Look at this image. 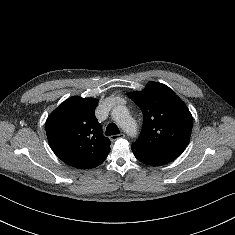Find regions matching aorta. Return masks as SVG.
I'll return each mask as SVG.
<instances>
[{"label": "aorta", "instance_id": "762f6f07", "mask_svg": "<svg viewBox=\"0 0 235 235\" xmlns=\"http://www.w3.org/2000/svg\"><path fill=\"white\" fill-rule=\"evenodd\" d=\"M113 120L128 134L136 131V125L130 116L129 110L123 105H118L111 112Z\"/></svg>", "mask_w": 235, "mask_h": 235}]
</instances>
